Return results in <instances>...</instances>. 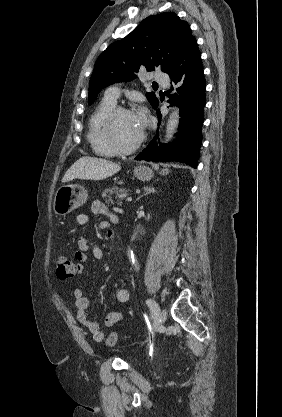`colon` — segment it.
<instances>
[{
  "label": "colon",
  "instance_id": "1",
  "mask_svg": "<svg viewBox=\"0 0 282 417\" xmlns=\"http://www.w3.org/2000/svg\"><path fill=\"white\" fill-rule=\"evenodd\" d=\"M56 272L59 278L67 279L73 277V275L79 272L82 266H74L73 261L66 255H60L56 259ZM106 344H117L118 337L115 330H110L105 337Z\"/></svg>",
  "mask_w": 282,
  "mask_h": 417
}]
</instances>
